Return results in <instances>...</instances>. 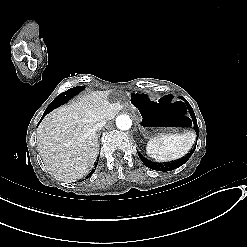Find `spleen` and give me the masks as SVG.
<instances>
[{"label": "spleen", "mask_w": 247, "mask_h": 247, "mask_svg": "<svg viewBox=\"0 0 247 247\" xmlns=\"http://www.w3.org/2000/svg\"><path fill=\"white\" fill-rule=\"evenodd\" d=\"M195 133L159 135L147 143V155L157 161H168L185 155L195 142Z\"/></svg>", "instance_id": "1"}]
</instances>
